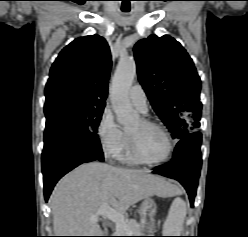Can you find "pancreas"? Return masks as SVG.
<instances>
[{
  "instance_id": "obj_1",
  "label": "pancreas",
  "mask_w": 248,
  "mask_h": 237,
  "mask_svg": "<svg viewBox=\"0 0 248 237\" xmlns=\"http://www.w3.org/2000/svg\"><path fill=\"white\" fill-rule=\"evenodd\" d=\"M144 229L142 224L136 222L135 220H126V227L118 229L116 227V236H141L143 235Z\"/></svg>"
}]
</instances>
